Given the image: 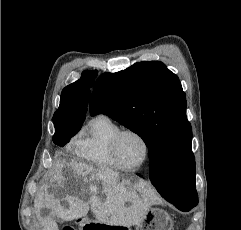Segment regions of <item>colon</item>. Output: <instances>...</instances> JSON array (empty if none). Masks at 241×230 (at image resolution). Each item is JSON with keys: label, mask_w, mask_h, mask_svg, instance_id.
<instances>
[{"label": "colon", "mask_w": 241, "mask_h": 230, "mask_svg": "<svg viewBox=\"0 0 241 230\" xmlns=\"http://www.w3.org/2000/svg\"><path fill=\"white\" fill-rule=\"evenodd\" d=\"M63 230H73L72 228H64Z\"/></svg>", "instance_id": "obj_1"}]
</instances>
